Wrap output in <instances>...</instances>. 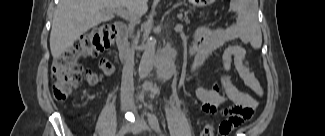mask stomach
<instances>
[{
    "label": "stomach",
    "mask_w": 325,
    "mask_h": 136,
    "mask_svg": "<svg viewBox=\"0 0 325 136\" xmlns=\"http://www.w3.org/2000/svg\"><path fill=\"white\" fill-rule=\"evenodd\" d=\"M212 0H191V3L196 6H204L206 3H210Z\"/></svg>",
    "instance_id": "0dacf381"
}]
</instances>
